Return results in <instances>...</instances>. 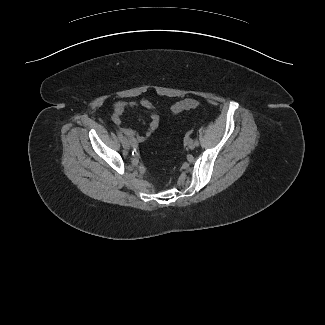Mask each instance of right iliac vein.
Masks as SVG:
<instances>
[{
  "instance_id": "obj_1",
  "label": "right iliac vein",
  "mask_w": 325,
  "mask_h": 325,
  "mask_svg": "<svg viewBox=\"0 0 325 325\" xmlns=\"http://www.w3.org/2000/svg\"><path fill=\"white\" fill-rule=\"evenodd\" d=\"M121 143H122V146L125 149H129L130 148V144H129L128 140L125 137L121 140Z\"/></svg>"
}]
</instances>
